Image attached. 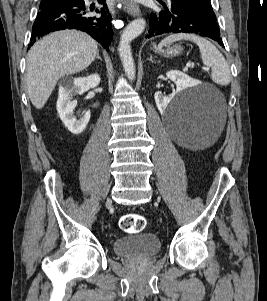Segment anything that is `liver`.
<instances>
[{
	"label": "liver",
	"mask_w": 267,
	"mask_h": 301,
	"mask_svg": "<svg viewBox=\"0 0 267 301\" xmlns=\"http://www.w3.org/2000/svg\"><path fill=\"white\" fill-rule=\"evenodd\" d=\"M97 42L76 30L51 33L37 41L27 57V93L36 109H42L57 81L86 69L96 58Z\"/></svg>",
	"instance_id": "6515ba94"
}]
</instances>
